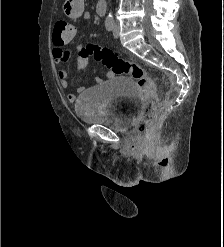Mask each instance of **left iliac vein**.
I'll use <instances>...</instances> for the list:
<instances>
[{
    "label": "left iliac vein",
    "mask_w": 224,
    "mask_h": 247,
    "mask_svg": "<svg viewBox=\"0 0 224 247\" xmlns=\"http://www.w3.org/2000/svg\"><path fill=\"white\" fill-rule=\"evenodd\" d=\"M113 36H114V38H118L119 37V25L118 24L114 25Z\"/></svg>",
    "instance_id": "1"
}]
</instances>
